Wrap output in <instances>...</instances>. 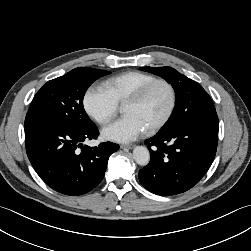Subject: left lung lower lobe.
I'll use <instances>...</instances> for the list:
<instances>
[{"mask_svg":"<svg viewBox=\"0 0 251 251\" xmlns=\"http://www.w3.org/2000/svg\"><path fill=\"white\" fill-rule=\"evenodd\" d=\"M186 120L145 141L151 161L139 171L150 192L171 196L196 185L211 166L218 143V117L210 97H200Z\"/></svg>","mask_w":251,"mask_h":251,"instance_id":"obj_1","label":"left lung lower lobe"}]
</instances>
